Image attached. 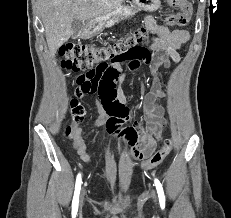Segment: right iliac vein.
Instances as JSON below:
<instances>
[{
  "instance_id": "right-iliac-vein-1",
  "label": "right iliac vein",
  "mask_w": 231,
  "mask_h": 218,
  "mask_svg": "<svg viewBox=\"0 0 231 218\" xmlns=\"http://www.w3.org/2000/svg\"><path fill=\"white\" fill-rule=\"evenodd\" d=\"M84 196H85V190L82 189L81 193H80V198H79V205H80V207H82V205H83Z\"/></svg>"
}]
</instances>
